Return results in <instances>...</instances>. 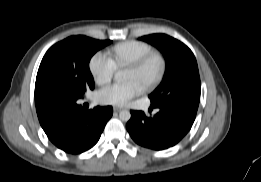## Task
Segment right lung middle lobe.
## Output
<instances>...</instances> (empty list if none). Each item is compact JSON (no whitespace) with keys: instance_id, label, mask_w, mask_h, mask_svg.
<instances>
[{"instance_id":"1","label":"right lung middle lobe","mask_w":261,"mask_h":182,"mask_svg":"<svg viewBox=\"0 0 261 182\" xmlns=\"http://www.w3.org/2000/svg\"><path fill=\"white\" fill-rule=\"evenodd\" d=\"M111 40H95L86 36H71L53 45L44 55L35 83V104L54 98L78 100L93 90L94 80L89 70L91 57Z\"/></svg>"}]
</instances>
